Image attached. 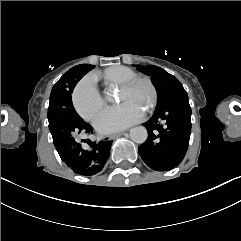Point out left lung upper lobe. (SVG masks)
<instances>
[{
	"mask_svg": "<svg viewBox=\"0 0 241 241\" xmlns=\"http://www.w3.org/2000/svg\"><path fill=\"white\" fill-rule=\"evenodd\" d=\"M138 70L151 76L158 93L157 108L176 94L186 93L182 84L171 74L157 66H138Z\"/></svg>",
	"mask_w": 241,
	"mask_h": 241,
	"instance_id": "1",
	"label": "left lung upper lobe"
}]
</instances>
